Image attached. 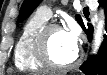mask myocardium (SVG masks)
<instances>
[{
    "mask_svg": "<svg viewBox=\"0 0 107 75\" xmlns=\"http://www.w3.org/2000/svg\"><path fill=\"white\" fill-rule=\"evenodd\" d=\"M53 30H62L61 26L55 23L45 24L35 35L33 40V51L37 60L46 68L52 70L72 69L79 63L81 54L77 49L74 59L67 64H59L54 61L49 49V36Z\"/></svg>",
    "mask_w": 107,
    "mask_h": 75,
    "instance_id": "f54148a6",
    "label": "myocardium"
}]
</instances>
